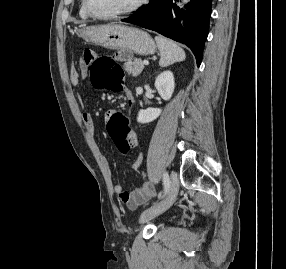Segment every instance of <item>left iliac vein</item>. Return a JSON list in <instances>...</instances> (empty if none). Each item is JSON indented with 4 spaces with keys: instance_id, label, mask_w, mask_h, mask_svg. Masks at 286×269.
Segmentation results:
<instances>
[{
    "instance_id": "4c4485c4",
    "label": "left iliac vein",
    "mask_w": 286,
    "mask_h": 269,
    "mask_svg": "<svg viewBox=\"0 0 286 269\" xmlns=\"http://www.w3.org/2000/svg\"><path fill=\"white\" fill-rule=\"evenodd\" d=\"M179 191V180L175 172L171 173L170 187L166 197L158 204L145 210L140 216V222L145 223L168 210L174 203Z\"/></svg>"
}]
</instances>
